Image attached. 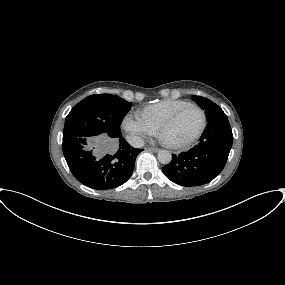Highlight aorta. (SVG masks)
Listing matches in <instances>:
<instances>
[{
  "label": "aorta",
  "instance_id": "aorta-1",
  "mask_svg": "<svg viewBox=\"0 0 285 285\" xmlns=\"http://www.w3.org/2000/svg\"><path fill=\"white\" fill-rule=\"evenodd\" d=\"M157 158L162 164H169L172 159V155L168 150H159Z\"/></svg>",
  "mask_w": 285,
  "mask_h": 285
}]
</instances>
